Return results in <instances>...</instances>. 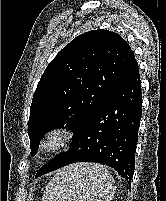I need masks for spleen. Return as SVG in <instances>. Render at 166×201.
<instances>
[{
  "instance_id": "3e777b00",
  "label": "spleen",
  "mask_w": 166,
  "mask_h": 201,
  "mask_svg": "<svg viewBox=\"0 0 166 201\" xmlns=\"http://www.w3.org/2000/svg\"><path fill=\"white\" fill-rule=\"evenodd\" d=\"M114 179L102 165L76 163L58 170L42 201H111Z\"/></svg>"
}]
</instances>
